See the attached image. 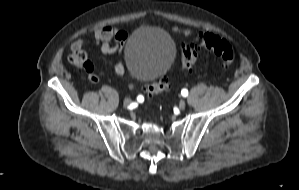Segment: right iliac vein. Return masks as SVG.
Masks as SVG:
<instances>
[{"instance_id": "1", "label": "right iliac vein", "mask_w": 299, "mask_h": 190, "mask_svg": "<svg viewBox=\"0 0 299 190\" xmlns=\"http://www.w3.org/2000/svg\"><path fill=\"white\" fill-rule=\"evenodd\" d=\"M131 104V100L129 98H126L124 101H123V105L124 107H129Z\"/></svg>"}]
</instances>
